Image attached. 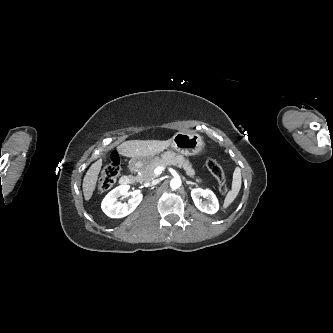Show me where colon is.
Returning <instances> with one entry per match:
<instances>
[{"label":"colon","instance_id":"5ec220e1","mask_svg":"<svg viewBox=\"0 0 333 333\" xmlns=\"http://www.w3.org/2000/svg\"><path fill=\"white\" fill-rule=\"evenodd\" d=\"M206 168L214 176L219 184L220 191L225 194L229 190L228 181L223 167L213 158L209 157L205 161ZM120 171V157L118 154H112L108 164L102 170L97 189L104 192L110 189L115 183Z\"/></svg>","mask_w":333,"mask_h":333}]
</instances>
